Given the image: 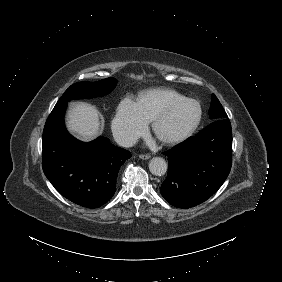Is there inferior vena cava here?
<instances>
[{
    "label": "inferior vena cava",
    "instance_id": "obj_1",
    "mask_svg": "<svg viewBox=\"0 0 282 282\" xmlns=\"http://www.w3.org/2000/svg\"><path fill=\"white\" fill-rule=\"evenodd\" d=\"M112 131L115 142L122 147H132L137 141V136L129 130L117 128Z\"/></svg>",
    "mask_w": 282,
    "mask_h": 282
}]
</instances>
